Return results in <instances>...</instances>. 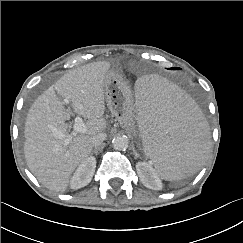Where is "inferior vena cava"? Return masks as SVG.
Segmentation results:
<instances>
[{"label":"inferior vena cava","instance_id":"obj_1","mask_svg":"<svg viewBox=\"0 0 243 243\" xmlns=\"http://www.w3.org/2000/svg\"><path fill=\"white\" fill-rule=\"evenodd\" d=\"M106 139L105 133H98L91 138V143L93 146H99Z\"/></svg>","mask_w":243,"mask_h":243}]
</instances>
